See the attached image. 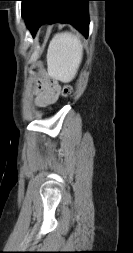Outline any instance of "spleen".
<instances>
[{
    "label": "spleen",
    "instance_id": "1",
    "mask_svg": "<svg viewBox=\"0 0 133 253\" xmlns=\"http://www.w3.org/2000/svg\"><path fill=\"white\" fill-rule=\"evenodd\" d=\"M80 40L69 32L56 34L47 52L48 73L51 77L68 83L72 81L82 61Z\"/></svg>",
    "mask_w": 133,
    "mask_h": 253
}]
</instances>
